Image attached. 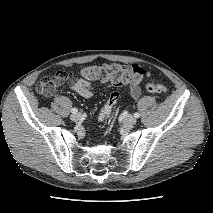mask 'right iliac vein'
Segmentation results:
<instances>
[{"label":"right iliac vein","instance_id":"63e3f726","mask_svg":"<svg viewBox=\"0 0 213 213\" xmlns=\"http://www.w3.org/2000/svg\"><path fill=\"white\" fill-rule=\"evenodd\" d=\"M80 118H81V115H80L79 113H75V114L73 113V114L70 116V119H71L72 121H74V122L79 121Z\"/></svg>","mask_w":213,"mask_h":213}]
</instances>
